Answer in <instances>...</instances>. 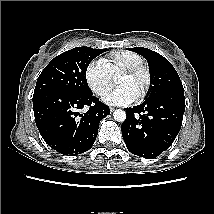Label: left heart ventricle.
<instances>
[{
  "mask_svg": "<svg viewBox=\"0 0 214 214\" xmlns=\"http://www.w3.org/2000/svg\"><path fill=\"white\" fill-rule=\"evenodd\" d=\"M118 84L119 86L130 88L138 96L142 88V79L140 77L120 75L118 78Z\"/></svg>",
  "mask_w": 214,
  "mask_h": 214,
  "instance_id": "left-heart-ventricle-1",
  "label": "left heart ventricle"
}]
</instances>
